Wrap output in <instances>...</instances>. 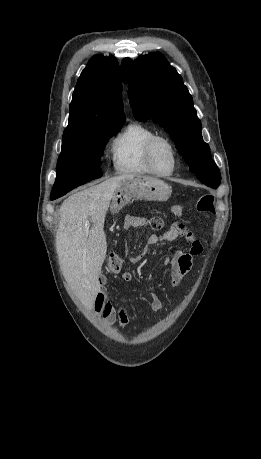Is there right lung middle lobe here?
<instances>
[{"label": "right lung middle lobe", "mask_w": 261, "mask_h": 459, "mask_svg": "<svg viewBox=\"0 0 261 459\" xmlns=\"http://www.w3.org/2000/svg\"><path fill=\"white\" fill-rule=\"evenodd\" d=\"M123 124L101 125L63 139L51 200L102 176L100 159L104 147L108 139L115 135Z\"/></svg>", "instance_id": "obj_1"}]
</instances>
